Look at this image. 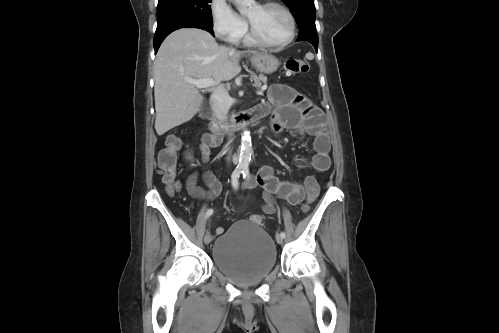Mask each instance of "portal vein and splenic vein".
Masks as SVG:
<instances>
[{
  "mask_svg": "<svg viewBox=\"0 0 499 333\" xmlns=\"http://www.w3.org/2000/svg\"><path fill=\"white\" fill-rule=\"evenodd\" d=\"M187 83L195 85L198 89H205L208 87H212L216 84V82L212 78H204V79H190L187 78L185 79ZM267 86L264 85L261 88V91L258 92L259 94H263V92L266 90Z\"/></svg>",
  "mask_w": 499,
  "mask_h": 333,
  "instance_id": "portal-vein-and-splenic-vein-1",
  "label": "portal vein and splenic vein"
}]
</instances>
